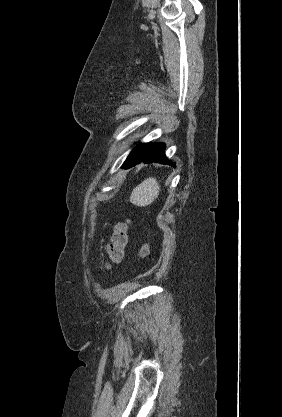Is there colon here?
Here are the masks:
<instances>
[{
  "mask_svg": "<svg viewBox=\"0 0 282 417\" xmlns=\"http://www.w3.org/2000/svg\"><path fill=\"white\" fill-rule=\"evenodd\" d=\"M128 243L127 226L124 223H116L113 225V231L110 241L107 246L108 261L105 266L109 264H116L122 261L124 249ZM150 250V243L144 242L140 245L139 254L145 256Z\"/></svg>",
  "mask_w": 282,
  "mask_h": 417,
  "instance_id": "5ec220e1",
  "label": "colon"
}]
</instances>
